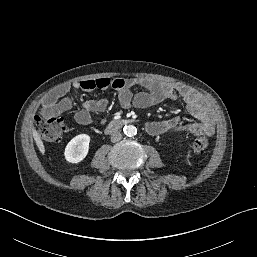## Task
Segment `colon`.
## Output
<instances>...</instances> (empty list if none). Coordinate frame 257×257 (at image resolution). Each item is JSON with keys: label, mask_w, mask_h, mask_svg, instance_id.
Instances as JSON below:
<instances>
[{"label": "colon", "mask_w": 257, "mask_h": 257, "mask_svg": "<svg viewBox=\"0 0 257 257\" xmlns=\"http://www.w3.org/2000/svg\"><path fill=\"white\" fill-rule=\"evenodd\" d=\"M57 101L61 99L60 96L55 98ZM34 127L37 133L45 140L49 142L60 141L66 137L68 128L65 125L63 119L59 116L53 106H43L40 113L35 117ZM208 138L201 136L197 138L192 146V150L195 153L203 152L208 146Z\"/></svg>", "instance_id": "colon-1"}]
</instances>
